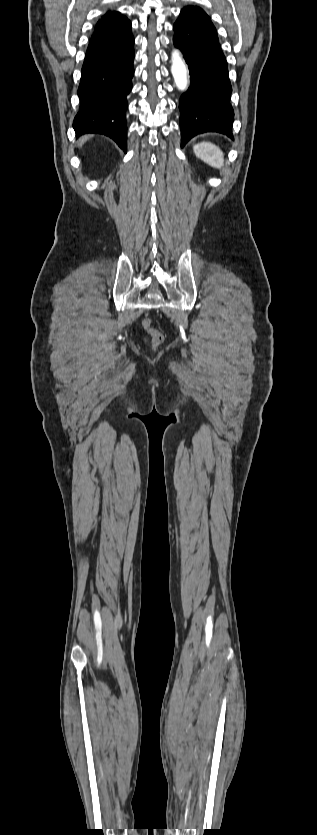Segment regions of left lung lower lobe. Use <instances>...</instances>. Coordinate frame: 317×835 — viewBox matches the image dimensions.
<instances>
[{
  "instance_id": "obj_1",
  "label": "left lung lower lobe",
  "mask_w": 317,
  "mask_h": 835,
  "mask_svg": "<svg viewBox=\"0 0 317 835\" xmlns=\"http://www.w3.org/2000/svg\"><path fill=\"white\" fill-rule=\"evenodd\" d=\"M174 32L173 43L184 55L191 82L179 102L181 146L206 132H219L233 139L234 111L229 103L232 87L210 17L201 8L187 6L181 10Z\"/></svg>"
}]
</instances>
